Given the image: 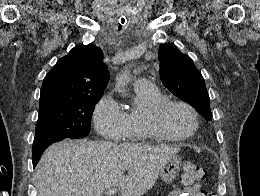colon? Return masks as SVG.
I'll return each instance as SVG.
<instances>
[{
    "label": "colon",
    "mask_w": 260,
    "mask_h": 196,
    "mask_svg": "<svg viewBox=\"0 0 260 196\" xmlns=\"http://www.w3.org/2000/svg\"><path fill=\"white\" fill-rule=\"evenodd\" d=\"M207 176L206 169L198 164L187 162L182 165L180 180L185 185L204 182Z\"/></svg>",
    "instance_id": "1"
}]
</instances>
